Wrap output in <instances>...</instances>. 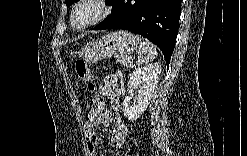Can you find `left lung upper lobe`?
<instances>
[{
  "mask_svg": "<svg viewBox=\"0 0 247 156\" xmlns=\"http://www.w3.org/2000/svg\"><path fill=\"white\" fill-rule=\"evenodd\" d=\"M74 2V0H65V3H66V5H67V7H69V6H71V4ZM111 2V4H112V7H114L115 6V4L118 2V0H112V1H110Z\"/></svg>",
  "mask_w": 247,
  "mask_h": 156,
  "instance_id": "left-lung-upper-lobe-1",
  "label": "left lung upper lobe"
}]
</instances>
